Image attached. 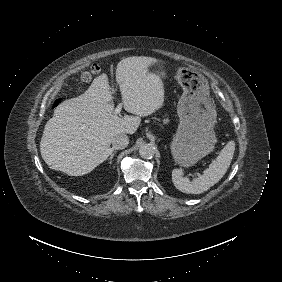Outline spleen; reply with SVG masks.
Wrapping results in <instances>:
<instances>
[{
    "label": "spleen",
    "mask_w": 282,
    "mask_h": 282,
    "mask_svg": "<svg viewBox=\"0 0 282 282\" xmlns=\"http://www.w3.org/2000/svg\"><path fill=\"white\" fill-rule=\"evenodd\" d=\"M235 151V142L229 141L217 158L204 170L203 175L190 181L181 169H174L172 179L176 188L187 194H200L219 182L229 168Z\"/></svg>",
    "instance_id": "3e777b00"
}]
</instances>
